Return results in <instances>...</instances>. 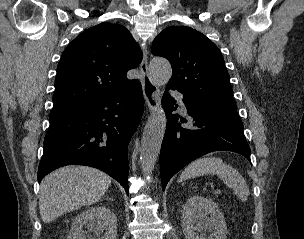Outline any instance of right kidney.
Wrapping results in <instances>:
<instances>
[{
    "mask_svg": "<svg viewBox=\"0 0 304 239\" xmlns=\"http://www.w3.org/2000/svg\"><path fill=\"white\" fill-rule=\"evenodd\" d=\"M86 225L88 232L83 231V226ZM116 237V216L105 206L91 207L78 214L73 219L68 235V239H116Z\"/></svg>",
    "mask_w": 304,
    "mask_h": 239,
    "instance_id": "right-kidney-1",
    "label": "right kidney"
}]
</instances>
